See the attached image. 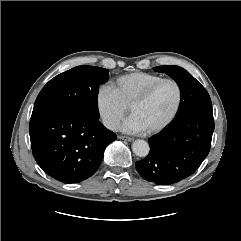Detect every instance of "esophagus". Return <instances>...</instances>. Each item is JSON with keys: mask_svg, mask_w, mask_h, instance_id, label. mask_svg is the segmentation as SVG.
<instances>
[{"mask_svg": "<svg viewBox=\"0 0 241 241\" xmlns=\"http://www.w3.org/2000/svg\"><path fill=\"white\" fill-rule=\"evenodd\" d=\"M118 138H119V139H122V140L129 141V142H131V141L134 140L133 137L123 136V135H119Z\"/></svg>", "mask_w": 241, "mask_h": 241, "instance_id": "obj_1", "label": "esophagus"}]
</instances>
